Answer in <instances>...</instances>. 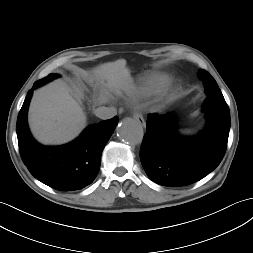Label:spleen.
<instances>
[{
    "label": "spleen",
    "mask_w": 253,
    "mask_h": 253,
    "mask_svg": "<svg viewBox=\"0 0 253 253\" xmlns=\"http://www.w3.org/2000/svg\"><path fill=\"white\" fill-rule=\"evenodd\" d=\"M183 133L191 134V133H193V131H191V130H185V131H183Z\"/></svg>",
    "instance_id": "obj_1"
}]
</instances>
